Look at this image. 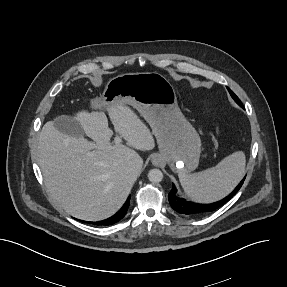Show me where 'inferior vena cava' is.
<instances>
[{"mask_svg":"<svg viewBox=\"0 0 287 287\" xmlns=\"http://www.w3.org/2000/svg\"><path fill=\"white\" fill-rule=\"evenodd\" d=\"M142 165H143V160L141 157H137L131 162V167L136 171H140L142 168Z\"/></svg>","mask_w":287,"mask_h":287,"instance_id":"obj_1","label":"inferior vena cava"}]
</instances>
